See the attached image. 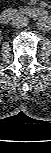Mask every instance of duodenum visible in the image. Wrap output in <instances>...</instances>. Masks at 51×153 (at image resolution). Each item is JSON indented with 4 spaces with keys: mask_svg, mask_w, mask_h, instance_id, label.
<instances>
[{
    "mask_svg": "<svg viewBox=\"0 0 51 153\" xmlns=\"http://www.w3.org/2000/svg\"><path fill=\"white\" fill-rule=\"evenodd\" d=\"M29 17V18H45L47 16V11L40 7L32 8H9L5 9L1 13L2 23H9L12 19L16 17Z\"/></svg>",
    "mask_w": 51,
    "mask_h": 153,
    "instance_id": "obj_1",
    "label": "duodenum"
}]
</instances>
